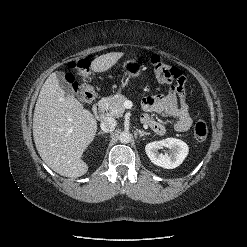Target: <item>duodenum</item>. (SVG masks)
<instances>
[{"instance_id":"1","label":"duodenum","mask_w":247,"mask_h":247,"mask_svg":"<svg viewBox=\"0 0 247 247\" xmlns=\"http://www.w3.org/2000/svg\"><path fill=\"white\" fill-rule=\"evenodd\" d=\"M93 113L97 119H101L105 115V105L103 100H98L93 106Z\"/></svg>"}]
</instances>
